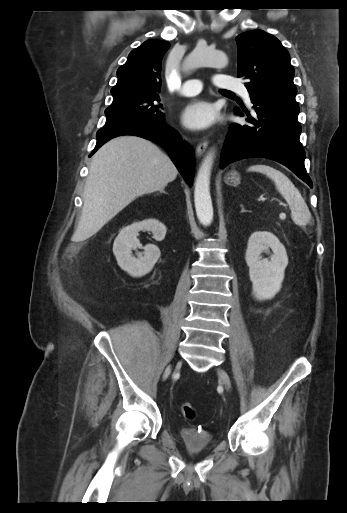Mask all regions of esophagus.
I'll use <instances>...</instances> for the list:
<instances>
[{
    "mask_svg": "<svg viewBox=\"0 0 347 513\" xmlns=\"http://www.w3.org/2000/svg\"><path fill=\"white\" fill-rule=\"evenodd\" d=\"M208 147V141L207 140H204L203 142H200L197 147H196V155L198 157H201L204 152L206 151Z\"/></svg>",
    "mask_w": 347,
    "mask_h": 513,
    "instance_id": "esophagus-1",
    "label": "esophagus"
}]
</instances>
